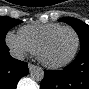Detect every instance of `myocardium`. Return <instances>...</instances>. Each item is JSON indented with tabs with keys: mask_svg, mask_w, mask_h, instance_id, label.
<instances>
[{
	"mask_svg": "<svg viewBox=\"0 0 89 89\" xmlns=\"http://www.w3.org/2000/svg\"><path fill=\"white\" fill-rule=\"evenodd\" d=\"M62 30H70L74 33L75 37H76V44L74 47L73 52L71 53V55L66 58L63 61L57 62V63H52L47 61L44 57H43V51L45 49V47L48 45V43L50 42V40L60 31ZM80 47V36L78 34V32L76 31L75 28L71 27V26H61L59 28H57L56 30L52 31L51 33H49L44 39L43 41L40 43V45L38 46L36 55L38 60L46 67L48 68H52V69H56V68H61L64 67L66 65H68L69 63H71L73 61V59L76 57L78 50Z\"/></svg>",
	"mask_w": 89,
	"mask_h": 89,
	"instance_id": "1",
	"label": "myocardium"
}]
</instances>
